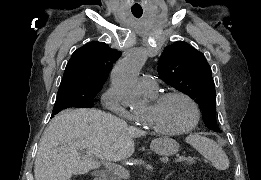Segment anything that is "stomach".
<instances>
[{"label": "stomach", "mask_w": 261, "mask_h": 180, "mask_svg": "<svg viewBox=\"0 0 261 180\" xmlns=\"http://www.w3.org/2000/svg\"><path fill=\"white\" fill-rule=\"evenodd\" d=\"M150 148L161 156H172L179 151V144L172 138H157L151 142Z\"/></svg>", "instance_id": "1"}]
</instances>
